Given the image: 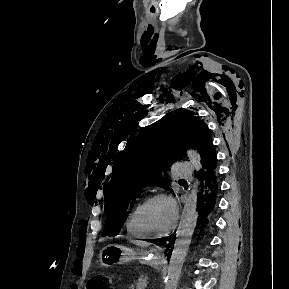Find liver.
Segmentation results:
<instances>
[{"label":"liver","mask_w":289,"mask_h":289,"mask_svg":"<svg viewBox=\"0 0 289 289\" xmlns=\"http://www.w3.org/2000/svg\"><path fill=\"white\" fill-rule=\"evenodd\" d=\"M134 244L138 245V246H145L147 245V243L143 242V241H133Z\"/></svg>","instance_id":"obj_1"}]
</instances>
